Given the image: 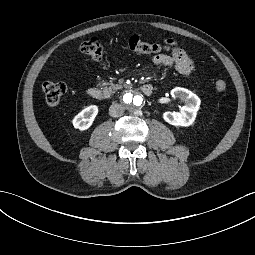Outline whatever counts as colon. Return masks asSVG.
Segmentation results:
<instances>
[{
	"mask_svg": "<svg viewBox=\"0 0 255 255\" xmlns=\"http://www.w3.org/2000/svg\"><path fill=\"white\" fill-rule=\"evenodd\" d=\"M127 47L130 51L138 54H156L160 53L161 51H174V49L169 46L150 43L142 40L136 35L131 36L128 39ZM79 49L83 54L96 61L101 60L105 53L104 47L95 37H90L89 39L83 41L80 44ZM42 88L45 95V100L50 106L57 105L67 91L66 84L61 81H47L43 84ZM215 89L218 92H223L226 89V82L221 79L217 80L215 82Z\"/></svg>",
	"mask_w": 255,
	"mask_h": 255,
	"instance_id": "colon-1",
	"label": "colon"
}]
</instances>
